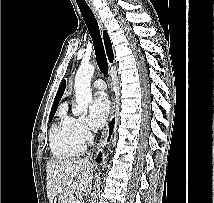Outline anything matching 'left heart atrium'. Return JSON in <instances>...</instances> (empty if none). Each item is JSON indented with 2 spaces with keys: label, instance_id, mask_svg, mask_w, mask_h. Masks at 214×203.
<instances>
[{
  "label": "left heart atrium",
  "instance_id": "left-heart-atrium-1",
  "mask_svg": "<svg viewBox=\"0 0 214 203\" xmlns=\"http://www.w3.org/2000/svg\"><path fill=\"white\" fill-rule=\"evenodd\" d=\"M110 112V103L108 97L100 93L92 102L89 110V117L91 123L95 127H102Z\"/></svg>",
  "mask_w": 214,
  "mask_h": 203
}]
</instances>
